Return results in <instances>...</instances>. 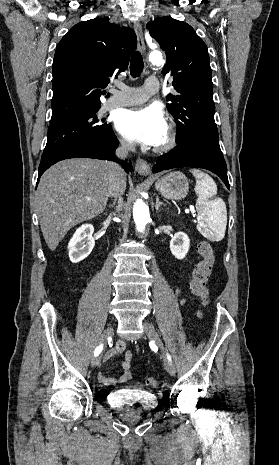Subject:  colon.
Listing matches in <instances>:
<instances>
[{"instance_id": "5ec220e1", "label": "colon", "mask_w": 279, "mask_h": 465, "mask_svg": "<svg viewBox=\"0 0 279 465\" xmlns=\"http://www.w3.org/2000/svg\"><path fill=\"white\" fill-rule=\"evenodd\" d=\"M198 253L201 259L193 271L190 287L193 294L198 296L204 304H207L209 299L207 283L212 274L215 254L213 247L208 242L199 244ZM146 385L151 388H157L160 385V381L156 377H149L146 379Z\"/></svg>"}]
</instances>
